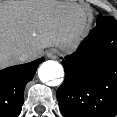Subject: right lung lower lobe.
Here are the masks:
<instances>
[{"label": "right lung lower lobe", "mask_w": 117, "mask_h": 117, "mask_svg": "<svg viewBox=\"0 0 117 117\" xmlns=\"http://www.w3.org/2000/svg\"><path fill=\"white\" fill-rule=\"evenodd\" d=\"M44 59L0 71V117H17L23 105L24 89Z\"/></svg>", "instance_id": "98d812e1"}]
</instances>
